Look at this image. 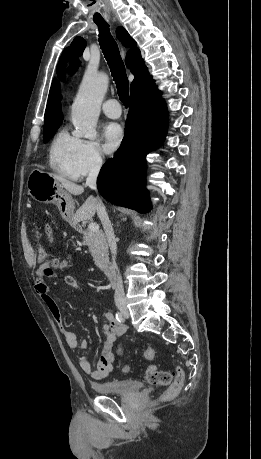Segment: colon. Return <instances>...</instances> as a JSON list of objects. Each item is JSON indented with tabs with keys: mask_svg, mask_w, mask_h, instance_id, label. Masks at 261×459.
<instances>
[{
	"mask_svg": "<svg viewBox=\"0 0 261 459\" xmlns=\"http://www.w3.org/2000/svg\"><path fill=\"white\" fill-rule=\"evenodd\" d=\"M30 234L34 236L32 239L33 249L36 255L42 261H49L48 267L50 270L53 269H64L69 266V262L66 260H60V255L56 254L55 258L50 252H47V247L42 245V238L39 235V229L35 227L33 223L28 225ZM119 354L122 352V347L118 350ZM143 355L148 360H153L156 356L155 349L147 347L143 351ZM125 371L129 370L128 366L124 367ZM146 378L149 383L159 386H169V388L163 393V400H171L176 397L182 389L184 383V373L181 368H176L175 371L170 372L166 370H160L154 365H150L146 369Z\"/></svg>",
	"mask_w": 261,
	"mask_h": 459,
	"instance_id": "5ec220e1",
	"label": "colon"
}]
</instances>
